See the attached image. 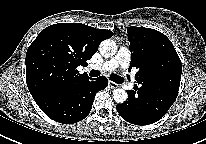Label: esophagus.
Masks as SVG:
<instances>
[{
	"instance_id": "esophagus-1",
	"label": "esophagus",
	"mask_w": 206,
	"mask_h": 144,
	"mask_svg": "<svg viewBox=\"0 0 206 144\" xmlns=\"http://www.w3.org/2000/svg\"><path fill=\"white\" fill-rule=\"evenodd\" d=\"M109 87L110 88H112V89H114V88H117L118 87V84L117 83H115V82H113V81H109Z\"/></svg>"
}]
</instances>
